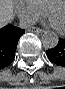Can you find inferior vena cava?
<instances>
[{"label": "inferior vena cava", "mask_w": 65, "mask_h": 89, "mask_svg": "<svg viewBox=\"0 0 65 89\" xmlns=\"http://www.w3.org/2000/svg\"><path fill=\"white\" fill-rule=\"evenodd\" d=\"M35 20L34 19H30V18H22L20 20V27L21 28H28L30 27L31 25H34L35 24Z\"/></svg>", "instance_id": "inferior-vena-cava-1"}]
</instances>
